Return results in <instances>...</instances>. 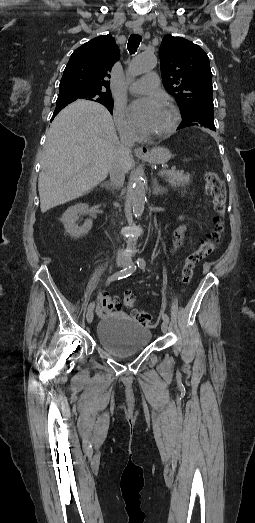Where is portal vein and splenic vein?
<instances>
[{
	"instance_id": "portal-vein-and-splenic-vein-1",
	"label": "portal vein and splenic vein",
	"mask_w": 255,
	"mask_h": 523,
	"mask_svg": "<svg viewBox=\"0 0 255 523\" xmlns=\"http://www.w3.org/2000/svg\"><path fill=\"white\" fill-rule=\"evenodd\" d=\"M174 172V169L172 167H163L162 169H159L158 171H156V174H158L159 176H162L163 174H172ZM175 172H178V169H175Z\"/></svg>"
}]
</instances>
